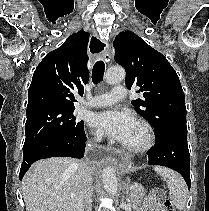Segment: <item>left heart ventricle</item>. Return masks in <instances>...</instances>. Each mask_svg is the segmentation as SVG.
Masks as SVG:
<instances>
[{
	"label": "left heart ventricle",
	"mask_w": 209,
	"mask_h": 211,
	"mask_svg": "<svg viewBox=\"0 0 209 211\" xmlns=\"http://www.w3.org/2000/svg\"><path fill=\"white\" fill-rule=\"evenodd\" d=\"M142 140H143L142 129L137 124H135L132 133L130 134L129 138L124 142V144L129 146H134L141 143Z\"/></svg>",
	"instance_id": "b2bd125f"
}]
</instances>
